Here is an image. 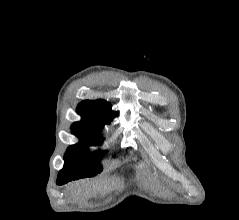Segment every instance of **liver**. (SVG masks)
I'll list each match as a JSON object with an SVG mask.
<instances>
[{"label":"liver","instance_id":"obj_1","mask_svg":"<svg viewBox=\"0 0 239 220\" xmlns=\"http://www.w3.org/2000/svg\"><path fill=\"white\" fill-rule=\"evenodd\" d=\"M101 185L94 182L80 181L71 184L69 190L76 197H88L101 190Z\"/></svg>","mask_w":239,"mask_h":220}]
</instances>
